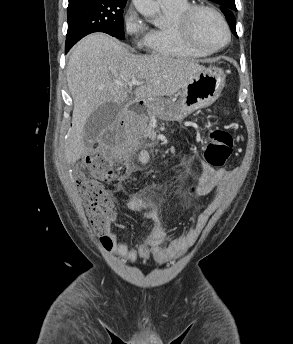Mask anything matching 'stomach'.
Returning a JSON list of instances; mask_svg holds the SVG:
<instances>
[{
    "label": "stomach",
    "mask_w": 293,
    "mask_h": 344,
    "mask_svg": "<svg viewBox=\"0 0 293 344\" xmlns=\"http://www.w3.org/2000/svg\"><path fill=\"white\" fill-rule=\"evenodd\" d=\"M225 85V75L217 67L204 68L179 92V99L155 98L142 102L149 114L162 120H179L195 110L215 102Z\"/></svg>",
    "instance_id": "1"
}]
</instances>
